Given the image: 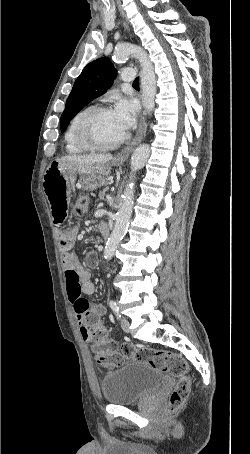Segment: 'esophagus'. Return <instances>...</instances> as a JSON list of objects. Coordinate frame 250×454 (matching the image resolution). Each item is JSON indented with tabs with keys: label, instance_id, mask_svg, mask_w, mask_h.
Segmentation results:
<instances>
[{
	"label": "esophagus",
	"instance_id": "34e87169",
	"mask_svg": "<svg viewBox=\"0 0 250 454\" xmlns=\"http://www.w3.org/2000/svg\"><path fill=\"white\" fill-rule=\"evenodd\" d=\"M125 29L127 31H129V27L128 25L124 22L123 23ZM145 112H143V115L141 117V120H140V124H139V128H138V131L135 135V138L133 139V141L127 145L118 155H117V159L118 160H125L129 157L130 153L133 151V149L135 148V146L143 139V137L145 136V133H146V128H147V124H146V121H145Z\"/></svg>",
	"mask_w": 250,
	"mask_h": 454
}]
</instances>
